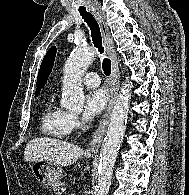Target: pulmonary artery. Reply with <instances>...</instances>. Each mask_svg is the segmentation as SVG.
Listing matches in <instances>:
<instances>
[{"instance_id": "pulmonary-artery-1", "label": "pulmonary artery", "mask_w": 189, "mask_h": 195, "mask_svg": "<svg viewBox=\"0 0 189 195\" xmlns=\"http://www.w3.org/2000/svg\"><path fill=\"white\" fill-rule=\"evenodd\" d=\"M83 82L88 87H97L100 84V79L96 73L88 72L84 75Z\"/></svg>"}]
</instances>
